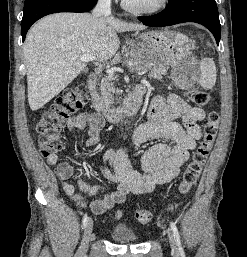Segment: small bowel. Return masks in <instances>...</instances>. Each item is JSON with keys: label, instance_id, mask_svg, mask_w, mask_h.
Returning <instances> with one entry per match:
<instances>
[{"label": "small bowel", "instance_id": "small-bowel-1", "mask_svg": "<svg viewBox=\"0 0 247 257\" xmlns=\"http://www.w3.org/2000/svg\"><path fill=\"white\" fill-rule=\"evenodd\" d=\"M205 112L193 107L176 94L155 96L148 109V121L137 127L131 136V143L139 146L151 139H168L175 143H157L148 148L141 160L143 174L136 171L128 158V149H108L103 154V164L98 166L101 176L117 184L114 192L89 203L92 213L99 215L122 203L130 193L144 195L151 193L156 185L165 184L175 179L180 167L189 159L196 141L201 137L199 123ZM182 119L183 126L176 120ZM70 130L87 129L86 146L98 143L100 131L104 126L102 117L95 113H79L66 122ZM47 163L55 166V171L62 183L64 192L80 205H84L83 197L76 192L70 182L74 170L66 162L60 161L56 154L47 157ZM81 192L95 195L103 189L100 185H91L78 179Z\"/></svg>", "mask_w": 247, "mask_h": 257}]
</instances>
